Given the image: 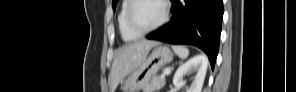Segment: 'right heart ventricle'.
I'll return each mask as SVG.
<instances>
[{"mask_svg":"<svg viewBox=\"0 0 296 92\" xmlns=\"http://www.w3.org/2000/svg\"><path fill=\"white\" fill-rule=\"evenodd\" d=\"M132 1L131 0H124L122 2V5L120 7V11L118 14L117 22H118V28L121 34V37L125 41H133L136 40L140 35L134 33L127 25L126 21V15L127 10Z\"/></svg>","mask_w":296,"mask_h":92,"instance_id":"e07e8e85","label":"right heart ventricle"}]
</instances>
